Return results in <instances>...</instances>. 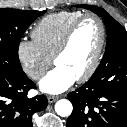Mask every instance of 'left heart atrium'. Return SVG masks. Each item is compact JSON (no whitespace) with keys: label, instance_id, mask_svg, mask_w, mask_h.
Here are the masks:
<instances>
[{"label":"left heart atrium","instance_id":"39dd6f15","mask_svg":"<svg viewBox=\"0 0 127 127\" xmlns=\"http://www.w3.org/2000/svg\"><path fill=\"white\" fill-rule=\"evenodd\" d=\"M75 81V76L63 67L56 66L40 81L39 86L43 92L59 94L72 86Z\"/></svg>","mask_w":127,"mask_h":127}]
</instances>
